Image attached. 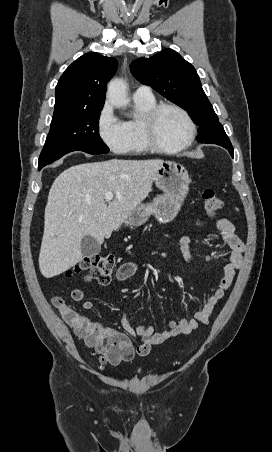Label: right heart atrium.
Instances as JSON below:
<instances>
[{
  "instance_id": "right-heart-atrium-1",
  "label": "right heart atrium",
  "mask_w": 272,
  "mask_h": 452,
  "mask_svg": "<svg viewBox=\"0 0 272 452\" xmlns=\"http://www.w3.org/2000/svg\"><path fill=\"white\" fill-rule=\"evenodd\" d=\"M96 129L101 141L113 152H122L125 146L126 135L124 125L113 112L111 105L107 102L100 110Z\"/></svg>"
}]
</instances>
